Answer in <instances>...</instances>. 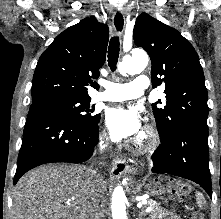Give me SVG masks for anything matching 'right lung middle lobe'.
I'll return each mask as SVG.
<instances>
[{
    "label": "right lung middle lobe",
    "mask_w": 221,
    "mask_h": 219,
    "mask_svg": "<svg viewBox=\"0 0 221 219\" xmlns=\"http://www.w3.org/2000/svg\"><path fill=\"white\" fill-rule=\"evenodd\" d=\"M91 99L48 98L32 102L30 111H45L63 115L66 118L90 127H94L100 120V115H92Z\"/></svg>",
    "instance_id": "1"
}]
</instances>
